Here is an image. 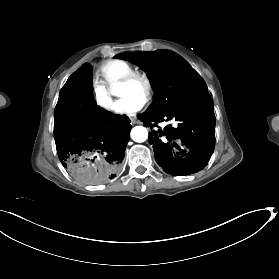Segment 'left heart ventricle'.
<instances>
[{
  "label": "left heart ventricle",
  "mask_w": 279,
  "mask_h": 279,
  "mask_svg": "<svg viewBox=\"0 0 279 279\" xmlns=\"http://www.w3.org/2000/svg\"><path fill=\"white\" fill-rule=\"evenodd\" d=\"M117 95L120 99L123 97L143 98V88L139 84L120 86L117 88Z\"/></svg>",
  "instance_id": "1"
}]
</instances>
